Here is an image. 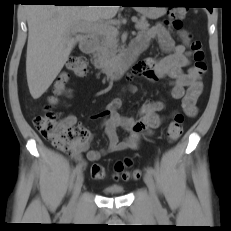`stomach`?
Returning <instances> with one entry per match:
<instances>
[{
	"mask_svg": "<svg viewBox=\"0 0 231 231\" xmlns=\"http://www.w3.org/2000/svg\"><path fill=\"white\" fill-rule=\"evenodd\" d=\"M147 2L159 4L155 1H147ZM154 6L155 5L147 4L144 7H136V10L142 15L152 19L158 18L165 13L166 7H154Z\"/></svg>",
	"mask_w": 231,
	"mask_h": 231,
	"instance_id": "obj_1",
	"label": "stomach"
}]
</instances>
